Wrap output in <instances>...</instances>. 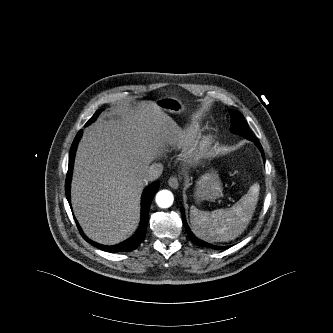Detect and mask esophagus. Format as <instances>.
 <instances>
[{"mask_svg": "<svg viewBox=\"0 0 333 333\" xmlns=\"http://www.w3.org/2000/svg\"><path fill=\"white\" fill-rule=\"evenodd\" d=\"M168 184L171 188L173 189H177L179 187V179L176 176H172L169 180H168Z\"/></svg>", "mask_w": 333, "mask_h": 333, "instance_id": "1", "label": "esophagus"}]
</instances>
